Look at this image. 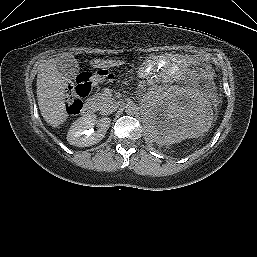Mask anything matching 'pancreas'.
Here are the masks:
<instances>
[{
    "label": "pancreas",
    "mask_w": 257,
    "mask_h": 257,
    "mask_svg": "<svg viewBox=\"0 0 257 257\" xmlns=\"http://www.w3.org/2000/svg\"><path fill=\"white\" fill-rule=\"evenodd\" d=\"M111 100V91L109 89L96 93L89 99V103L96 109L101 110Z\"/></svg>",
    "instance_id": "cf45deb5"
}]
</instances>
